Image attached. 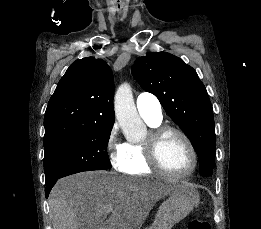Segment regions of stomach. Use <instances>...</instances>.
I'll use <instances>...</instances> for the list:
<instances>
[{"label": "stomach", "instance_id": "stomach-1", "mask_svg": "<svg viewBox=\"0 0 261 229\" xmlns=\"http://www.w3.org/2000/svg\"><path fill=\"white\" fill-rule=\"evenodd\" d=\"M175 193L162 203L152 227L147 229H172L175 223L185 219L199 203V193L192 183L172 181Z\"/></svg>", "mask_w": 261, "mask_h": 229}]
</instances>
